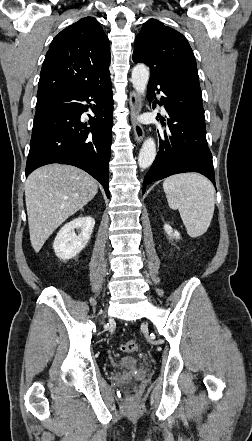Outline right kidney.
Wrapping results in <instances>:
<instances>
[{"label":"right kidney","mask_w":252,"mask_h":441,"mask_svg":"<svg viewBox=\"0 0 252 441\" xmlns=\"http://www.w3.org/2000/svg\"><path fill=\"white\" fill-rule=\"evenodd\" d=\"M95 220L90 217H78L66 223L53 243V249L58 258L69 260L79 254L90 240ZM75 229L81 232L77 235Z\"/></svg>","instance_id":"1"}]
</instances>
